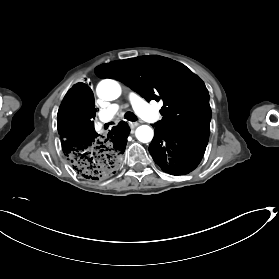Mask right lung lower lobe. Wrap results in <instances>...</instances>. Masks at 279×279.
<instances>
[{"mask_svg": "<svg viewBox=\"0 0 279 279\" xmlns=\"http://www.w3.org/2000/svg\"><path fill=\"white\" fill-rule=\"evenodd\" d=\"M95 113L91 89L78 83L67 92L60 105L57 128L63 152L72 168L87 179L104 180L119 169L129 128L120 121L107 137H102L94 129Z\"/></svg>", "mask_w": 279, "mask_h": 279, "instance_id": "obj_1", "label": "right lung lower lobe"}]
</instances>
